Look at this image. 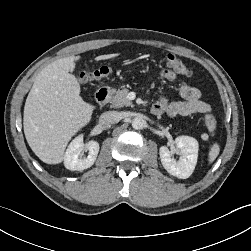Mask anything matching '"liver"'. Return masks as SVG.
<instances>
[{"mask_svg": "<svg viewBox=\"0 0 251 251\" xmlns=\"http://www.w3.org/2000/svg\"><path fill=\"white\" fill-rule=\"evenodd\" d=\"M119 54L100 55L96 61ZM79 56L58 59L36 77L24 106L26 140L44 163L59 164L70 139L90 120L95 106L83 101L78 79L73 75Z\"/></svg>", "mask_w": 251, "mask_h": 251, "instance_id": "liver-1", "label": "liver"}]
</instances>
